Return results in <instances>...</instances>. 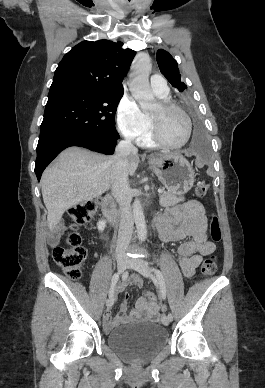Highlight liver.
I'll use <instances>...</instances> for the list:
<instances>
[{"mask_svg": "<svg viewBox=\"0 0 265 388\" xmlns=\"http://www.w3.org/2000/svg\"><path fill=\"white\" fill-rule=\"evenodd\" d=\"M181 156V154H170ZM139 156H128L129 176L135 174ZM113 158L100 156L84 148H67L59 154L55 164H51L42 174V196L48 210V230L58 226L64 212L93 198H99L113 184ZM98 184V186H93Z\"/></svg>", "mask_w": 265, "mask_h": 388, "instance_id": "liver-1", "label": "liver"}]
</instances>
